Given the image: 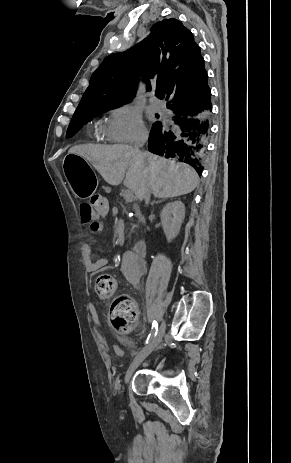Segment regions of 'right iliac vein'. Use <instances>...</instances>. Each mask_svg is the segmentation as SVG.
Segmentation results:
<instances>
[{
    "label": "right iliac vein",
    "mask_w": 291,
    "mask_h": 463,
    "mask_svg": "<svg viewBox=\"0 0 291 463\" xmlns=\"http://www.w3.org/2000/svg\"><path fill=\"white\" fill-rule=\"evenodd\" d=\"M164 334H165V324L163 322L156 336L153 338V340L137 354V356L134 358V360L128 367L126 374H125V383H127L130 380L135 370L146 359V357H148V355L152 353V351H154L159 346V344L161 343L164 337Z\"/></svg>",
    "instance_id": "obj_1"
}]
</instances>
